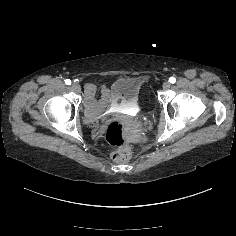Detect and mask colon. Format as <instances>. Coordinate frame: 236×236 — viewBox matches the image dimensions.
Listing matches in <instances>:
<instances>
[{"label": "colon", "instance_id": "1", "mask_svg": "<svg viewBox=\"0 0 236 236\" xmlns=\"http://www.w3.org/2000/svg\"><path fill=\"white\" fill-rule=\"evenodd\" d=\"M127 124L124 120H112L105 131V138L115 148L112 158L117 163L126 162L131 155V149L125 137Z\"/></svg>", "mask_w": 236, "mask_h": 236}]
</instances>
